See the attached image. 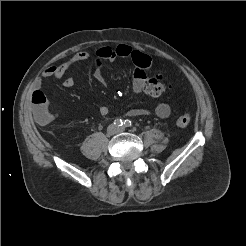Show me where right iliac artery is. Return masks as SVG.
I'll list each match as a JSON object with an SVG mask.
<instances>
[{
  "label": "right iliac artery",
  "mask_w": 246,
  "mask_h": 246,
  "mask_svg": "<svg viewBox=\"0 0 246 246\" xmlns=\"http://www.w3.org/2000/svg\"><path fill=\"white\" fill-rule=\"evenodd\" d=\"M124 124V122H123V120L122 119H119V118H117V119H115L114 120V125L115 126H122Z\"/></svg>",
  "instance_id": "right-iliac-artery-1"
}]
</instances>
